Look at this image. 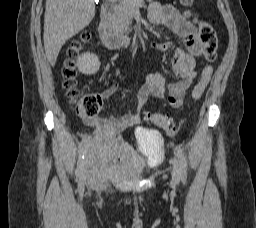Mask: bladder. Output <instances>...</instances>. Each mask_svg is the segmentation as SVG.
<instances>
[{"mask_svg":"<svg viewBox=\"0 0 256 228\" xmlns=\"http://www.w3.org/2000/svg\"><path fill=\"white\" fill-rule=\"evenodd\" d=\"M145 152L141 153L115 135L98 134L86 140L87 162L92 170L111 178L136 179L145 170L156 166L164 154L160 135H141Z\"/></svg>","mask_w":256,"mask_h":228,"instance_id":"bladder-1","label":"bladder"}]
</instances>
